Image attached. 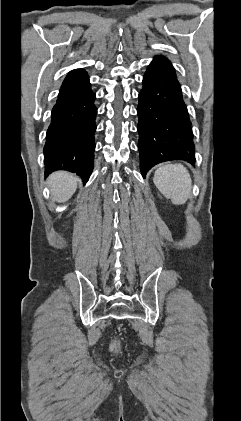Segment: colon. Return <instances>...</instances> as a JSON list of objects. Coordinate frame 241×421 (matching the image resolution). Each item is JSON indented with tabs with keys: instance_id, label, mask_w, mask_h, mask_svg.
<instances>
[{
	"instance_id": "5ec220e1",
	"label": "colon",
	"mask_w": 241,
	"mask_h": 421,
	"mask_svg": "<svg viewBox=\"0 0 241 421\" xmlns=\"http://www.w3.org/2000/svg\"><path fill=\"white\" fill-rule=\"evenodd\" d=\"M110 349L112 352H115V353L120 351V345H119L118 340L115 339L112 341L110 345Z\"/></svg>"
}]
</instances>
